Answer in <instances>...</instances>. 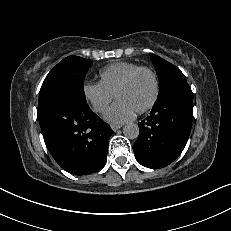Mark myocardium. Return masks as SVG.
Returning a JSON list of instances; mask_svg holds the SVG:
<instances>
[{
	"mask_svg": "<svg viewBox=\"0 0 231 231\" xmlns=\"http://www.w3.org/2000/svg\"><path fill=\"white\" fill-rule=\"evenodd\" d=\"M143 72L148 73L152 77V80L154 83V91H153V95H152L151 99L149 100V102L146 103L140 109H138L137 113H144V112L150 110L158 100V97L160 94V82H159V78H158V75L155 72V70H153L152 68L147 67V66H140V67L136 68L119 84V86L117 87V89L115 91V97H118L119 92L121 90H123L124 88L128 87L135 80V78L140 73H143Z\"/></svg>",
	"mask_w": 231,
	"mask_h": 231,
	"instance_id": "f54148a6",
	"label": "myocardium"
}]
</instances>
